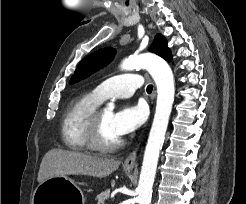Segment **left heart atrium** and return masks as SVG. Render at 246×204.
Returning a JSON list of instances; mask_svg holds the SVG:
<instances>
[{"label":"left heart atrium","instance_id":"39dd6f15","mask_svg":"<svg viewBox=\"0 0 246 204\" xmlns=\"http://www.w3.org/2000/svg\"><path fill=\"white\" fill-rule=\"evenodd\" d=\"M146 109L141 104L127 105L113 114L112 124L119 136L138 129L146 120Z\"/></svg>","mask_w":246,"mask_h":204}]
</instances>
